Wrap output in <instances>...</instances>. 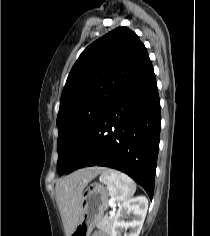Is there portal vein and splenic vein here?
I'll use <instances>...</instances> for the list:
<instances>
[{
  "label": "portal vein and splenic vein",
  "mask_w": 210,
  "mask_h": 236,
  "mask_svg": "<svg viewBox=\"0 0 210 236\" xmlns=\"http://www.w3.org/2000/svg\"><path fill=\"white\" fill-rule=\"evenodd\" d=\"M112 204H113V203H112ZM110 215H111V216L115 215V205H114V207H113V211L110 212Z\"/></svg>",
  "instance_id": "1"
}]
</instances>
